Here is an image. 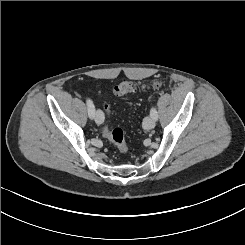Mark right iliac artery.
Instances as JSON below:
<instances>
[{"instance_id": "1", "label": "right iliac artery", "mask_w": 245, "mask_h": 245, "mask_svg": "<svg viewBox=\"0 0 245 245\" xmlns=\"http://www.w3.org/2000/svg\"><path fill=\"white\" fill-rule=\"evenodd\" d=\"M86 105L88 108V115L92 119L94 117V114H95V106H94L92 100L89 98L86 100Z\"/></svg>"}]
</instances>
